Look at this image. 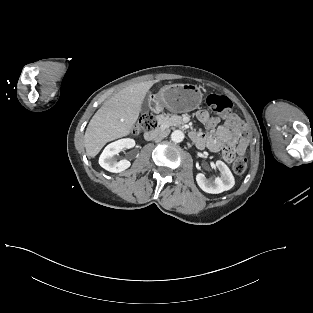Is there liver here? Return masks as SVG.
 Wrapping results in <instances>:
<instances>
[{
	"label": "liver",
	"instance_id": "1",
	"mask_svg": "<svg viewBox=\"0 0 313 313\" xmlns=\"http://www.w3.org/2000/svg\"><path fill=\"white\" fill-rule=\"evenodd\" d=\"M157 80L130 85L108 99L90 120L84 143L87 156L95 157L112 140L131 133L143 100Z\"/></svg>",
	"mask_w": 313,
	"mask_h": 313
}]
</instances>
